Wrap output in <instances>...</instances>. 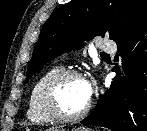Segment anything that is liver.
<instances>
[{
	"mask_svg": "<svg viewBox=\"0 0 147 131\" xmlns=\"http://www.w3.org/2000/svg\"><path fill=\"white\" fill-rule=\"evenodd\" d=\"M58 128H50L48 131H53V130H56Z\"/></svg>",
	"mask_w": 147,
	"mask_h": 131,
	"instance_id": "liver-1",
	"label": "liver"
}]
</instances>
